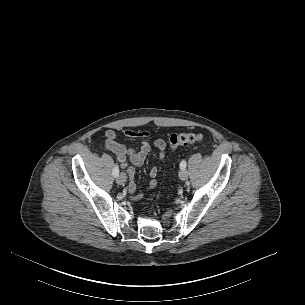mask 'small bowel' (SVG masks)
Segmentation results:
<instances>
[{
    "label": "small bowel",
    "mask_w": 305,
    "mask_h": 305,
    "mask_svg": "<svg viewBox=\"0 0 305 305\" xmlns=\"http://www.w3.org/2000/svg\"><path fill=\"white\" fill-rule=\"evenodd\" d=\"M124 134L128 137L140 138H147L149 136V133L147 131L126 130ZM104 137L106 148L116 155V158L121 163L122 168L126 169V172L130 179L128 188L130 193L132 194V198L135 200L141 199L144 196V192L137 191L136 184L134 182L135 169L131 166H128V162H130L133 166L136 167L142 166L146 160V157L150 153V144L147 141H142L135 148H127L125 145L117 141V134L114 130L111 129L105 132ZM153 145L158 150L157 159L159 161L163 160L166 155V142L163 139L159 138L153 142ZM157 174V166H152L148 174L151 180L148 182L146 190H152L156 187L157 182L155 180V177L157 176Z\"/></svg>",
    "instance_id": "obj_1"
}]
</instances>
